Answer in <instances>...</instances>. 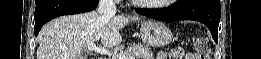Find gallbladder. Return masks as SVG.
Returning a JSON list of instances; mask_svg holds the SVG:
<instances>
[{
  "instance_id": "gallbladder-1",
  "label": "gallbladder",
  "mask_w": 261,
  "mask_h": 59,
  "mask_svg": "<svg viewBox=\"0 0 261 59\" xmlns=\"http://www.w3.org/2000/svg\"><path fill=\"white\" fill-rule=\"evenodd\" d=\"M78 59H86V56H84V55H79V56H78Z\"/></svg>"
}]
</instances>
